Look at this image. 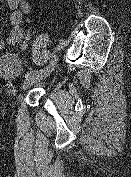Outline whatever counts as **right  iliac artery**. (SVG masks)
<instances>
[{"label":"right iliac artery","instance_id":"1","mask_svg":"<svg viewBox=\"0 0 131 177\" xmlns=\"http://www.w3.org/2000/svg\"><path fill=\"white\" fill-rule=\"evenodd\" d=\"M53 57H54L53 53L48 54V60H46V63L42 66V68L39 69L40 73H45L46 70H49L52 67V64L49 63V61H52ZM34 72H37V71H30L27 73V76H29L30 74H33Z\"/></svg>","mask_w":131,"mask_h":177}]
</instances>
